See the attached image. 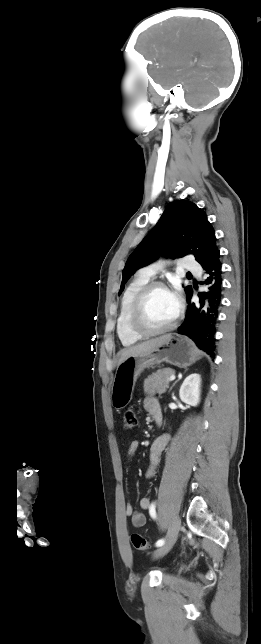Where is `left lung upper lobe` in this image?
<instances>
[{"label": "left lung upper lobe", "instance_id": "5c2ea615", "mask_svg": "<svg viewBox=\"0 0 261 644\" xmlns=\"http://www.w3.org/2000/svg\"><path fill=\"white\" fill-rule=\"evenodd\" d=\"M163 248L171 258L192 254L201 266L219 251L213 227L202 209L187 200L170 203L154 229L129 256L123 269L119 294L129 277L137 269L151 263ZM185 291L188 296L192 289L187 286Z\"/></svg>", "mask_w": 261, "mask_h": 644}]
</instances>
